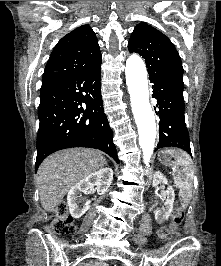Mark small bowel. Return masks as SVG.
<instances>
[{
  "mask_svg": "<svg viewBox=\"0 0 221 266\" xmlns=\"http://www.w3.org/2000/svg\"><path fill=\"white\" fill-rule=\"evenodd\" d=\"M92 266H109V265L105 262H95L94 264H92Z\"/></svg>",
  "mask_w": 221,
  "mask_h": 266,
  "instance_id": "small-bowel-1",
  "label": "small bowel"
}]
</instances>
